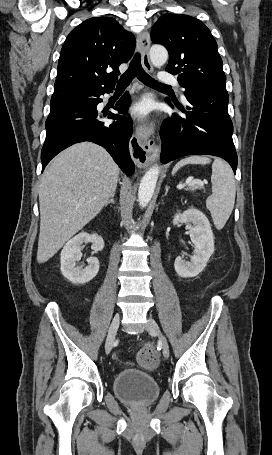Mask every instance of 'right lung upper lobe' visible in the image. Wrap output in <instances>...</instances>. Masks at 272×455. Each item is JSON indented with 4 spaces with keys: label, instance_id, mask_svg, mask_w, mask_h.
Segmentation results:
<instances>
[{
    "label": "right lung upper lobe",
    "instance_id": "right-lung-upper-lobe-1",
    "mask_svg": "<svg viewBox=\"0 0 272 455\" xmlns=\"http://www.w3.org/2000/svg\"><path fill=\"white\" fill-rule=\"evenodd\" d=\"M135 43L133 34L111 17H94L78 25L62 47L51 103L113 89L119 65L129 61Z\"/></svg>",
    "mask_w": 272,
    "mask_h": 455
}]
</instances>
